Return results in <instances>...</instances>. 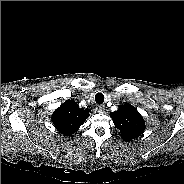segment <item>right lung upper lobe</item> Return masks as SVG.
<instances>
[{
  "label": "right lung upper lobe",
  "instance_id": "right-lung-upper-lobe-1",
  "mask_svg": "<svg viewBox=\"0 0 184 184\" xmlns=\"http://www.w3.org/2000/svg\"><path fill=\"white\" fill-rule=\"evenodd\" d=\"M89 112L90 109L79 108L74 100H67L54 111L51 120L60 133L71 136L90 116Z\"/></svg>",
  "mask_w": 184,
  "mask_h": 184
}]
</instances>
